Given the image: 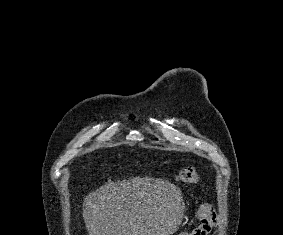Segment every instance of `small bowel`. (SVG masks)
<instances>
[{
    "instance_id": "1",
    "label": "small bowel",
    "mask_w": 283,
    "mask_h": 235,
    "mask_svg": "<svg viewBox=\"0 0 283 235\" xmlns=\"http://www.w3.org/2000/svg\"><path fill=\"white\" fill-rule=\"evenodd\" d=\"M195 218L198 226L189 234L179 235H209L217 220L216 212L209 204L201 205L195 213Z\"/></svg>"
}]
</instances>
